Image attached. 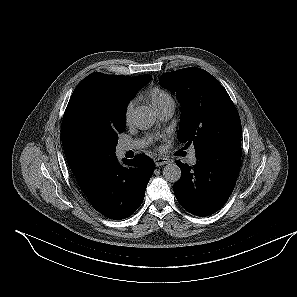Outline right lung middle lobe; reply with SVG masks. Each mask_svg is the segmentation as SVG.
<instances>
[{"label":"right lung middle lobe","instance_id":"1","mask_svg":"<svg viewBox=\"0 0 297 297\" xmlns=\"http://www.w3.org/2000/svg\"><path fill=\"white\" fill-rule=\"evenodd\" d=\"M125 116L115 120L99 121L92 124L87 131L91 148L103 157H114L118 134L125 129Z\"/></svg>","mask_w":297,"mask_h":297}]
</instances>
